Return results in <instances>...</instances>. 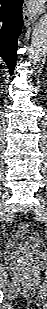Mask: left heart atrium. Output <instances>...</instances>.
I'll use <instances>...</instances> for the list:
<instances>
[{
    "instance_id": "39dd6f15",
    "label": "left heart atrium",
    "mask_w": 47,
    "mask_h": 309,
    "mask_svg": "<svg viewBox=\"0 0 47 309\" xmlns=\"http://www.w3.org/2000/svg\"><path fill=\"white\" fill-rule=\"evenodd\" d=\"M31 1H32L31 4L33 7H37L40 2V0H31Z\"/></svg>"
}]
</instances>
